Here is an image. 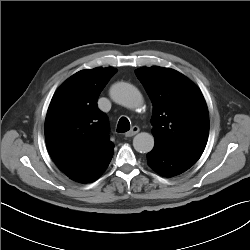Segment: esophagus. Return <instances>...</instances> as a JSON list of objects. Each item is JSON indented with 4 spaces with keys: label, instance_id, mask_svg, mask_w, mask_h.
Returning <instances> with one entry per match:
<instances>
[{
    "label": "esophagus",
    "instance_id": "esophagus-1",
    "mask_svg": "<svg viewBox=\"0 0 250 250\" xmlns=\"http://www.w3.org/2000/svg\"><path fill=\"white\" fill-rule=\"evenodd\" d=\"M140 131L138 126H133L131 130L125 133L126 137H132Z\"/></svg>",
    "mask_w": 250,
    "mask_h": 250
}]
</instances>
